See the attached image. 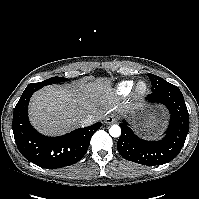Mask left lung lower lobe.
<instances>
[{
	"label": "left lung lower lobe",
	"mask_w": 199,
	"mask_h": 199,
	"mask_svg": "<svg viewBox=\"0 0 199 199\" xmlns=\"http://www.w3.org/2000/svg\"><path fill=\"white\" fill-rule=\"evenodd\" d=\"M147 101L163 104L169 110L171 117L166 136L160 141L140 139L123 121L117 149L122 157L132 162L148 166L165 164L174 159L184 145L189 131L188 110L178 87L152 92Z\"/></svg>",
	"instance_id": "0a47b994"
}]
</instances>
